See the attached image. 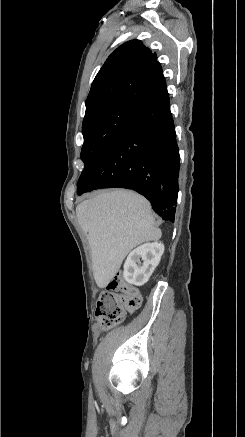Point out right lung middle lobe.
Wrapping results in <instances>:
<instances>
[{
  "label": "right lung middle lobe",
  "mask_w": 245,
  "mask_h": 437,
  "mask_svg": "<svg viewBox=\"0 0 245 437\" xmlns=\"http://www.w3.org/2000/svg\"><path fill=\"white\" fill-rule=\"evenodd\" d=\"M139 109L140 107L130 103L112 102L100 105L85 114L82 125L84 143L80 154L85 166L78 186L93 171Z\"/></svg>",
  "instance_id": "obj_1"
}]
</instances>
